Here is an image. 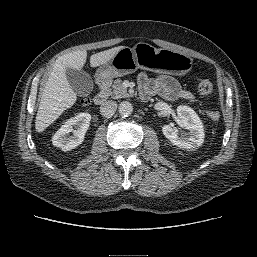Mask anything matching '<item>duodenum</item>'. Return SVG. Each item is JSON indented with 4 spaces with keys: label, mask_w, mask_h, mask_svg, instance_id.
I'll return each instance as SVG.
<instances>
[{
    "label": "duodenum",
    "mask_w": 257,
    "mask_h": 257,
    "mask_svg": "<svg viewBox=\"0 0 257 257\" xmlns=\"http://www.w3.org/2000/svg\"><path fill=\"white\" fill-rule=\"evenodd\" d=\"M108 84H109L108 78H103L101 80H98V86L100 88V91L94 97L95 104L102 105L106 101L108 97V92H107Z\"/></svg>",
    "instance_id": "obj_1"
}]
</instances>
